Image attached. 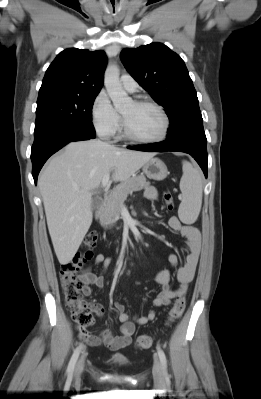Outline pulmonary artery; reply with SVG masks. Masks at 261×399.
I'll use <instances>...</instances> for the list:
<instances>
[{"label": "pulmonary artery", "instance_id": "obj_1", "mask_svg": "<svg viewBox=\"0 0 261 399\" xmlns=\"http://www.w3.org/2000/svg\"><path fill=\"white\" fill-rule=\"evenodd\" d=\"M120 81L123 88L129 92H134L137 88V82L132 76L128 74L122 75Z\"/></svg>", "mask_w": 261, "mask_h": 399}]
</instances>
